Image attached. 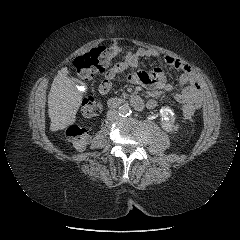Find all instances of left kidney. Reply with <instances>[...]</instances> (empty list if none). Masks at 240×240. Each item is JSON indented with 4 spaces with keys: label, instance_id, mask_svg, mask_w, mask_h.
Here are the masks:
<instances>
[{
    "label": "left kidney",
    "instance_id": "1",
    "mask_svg": "<svg viewBox=\"0 0 240 240\" xmlns=\"http://www.w3.org/2000/svg\"><path fill=\"white\" fill-rule=\"evenodd\" d=\"M161 113V127L166 132H176L178 131L179 125L174 124L175 117L173 116V112L169 107H164L160 111Z\"/></svg>",
    "mask_w": 240,
    "mask_h": 240
}]
</instances>
